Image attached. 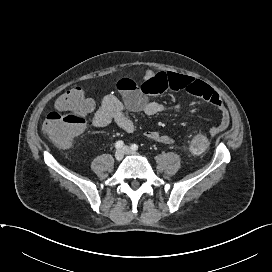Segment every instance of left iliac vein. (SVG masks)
I'll return each mask as SVG.
<instances>
[{
	"mask_svg": "<svg viewBox=\"0 0 272 272\" xmlns=\"http://www.w3.org/2000/svg\"><path fill=\"white\" fill-rule=\"evenodd\" d=\"M123 152L125 153V154H129V155H134V154H136V152L134 151V150H132L130 147H128V146H124L123 147Z\"/></svg>",
	"mask_w": 272,
	"mask_h": 272,
	"instance_id": "left-iliac-vein-1",
	"label": "left iliac vein"
}]
</instances>
